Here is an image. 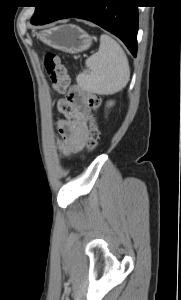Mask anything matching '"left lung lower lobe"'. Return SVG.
I'll return each mask as SVG.
<instances>
[{
    "label": "left lung lower lobe",
    "mask_w": 181,
    "mask_h": 300,
    "mask_svg": "<svg viewBox=\"0 0 181 300\" xmlns=\"http://www.w3.org/2000/svg\"><path fill=\"white\" fill-rule=\"evenodd\" d=\"M135 0H57L39 25L64 18L85 19L119 37L132 55L137 53L138 9Z\"/></svg>",
    "instance_id": "left-lung-lower-lobe-1"
}]
</instances>
